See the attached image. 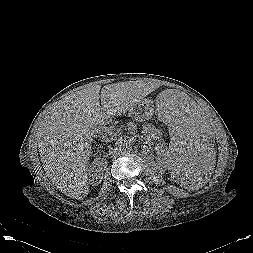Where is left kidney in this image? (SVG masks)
Wrapping results in <instances>:
<instances>
[{
  "label": "left kidney",
  "instance_id": "1",
  "mask_svg": "<svg viewBox=\"0 0 253 253\" xmlns=\"http://www.w3.org/2000/svg\"><path fill=\"white\" fill-rule=\"evenodd\" d=\"M143 133L144 135H147L151 138L158 139L159 143L157 144V147L161 150L162 154L166 157L167 156L166 146L161 141L162 131L160 129H157L153 125H146L143 127ZM174 175L177 176V174H174ZM186 185H188L187 181H186Z\"/></svg>",
  "mask_w": 253,
  "mask_h": 253
}]
</instances>
